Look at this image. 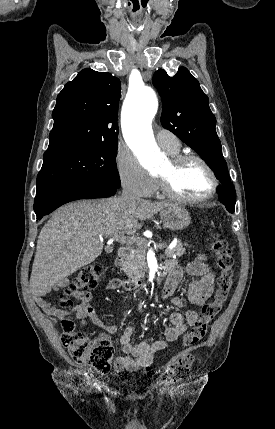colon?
Masks as SVG:
<instances>
[{
	"mask_svg": "<svg viewBox=\"0 0 275 429\" xmlns=\"http://www.w3.org/2000/svg\"><path fill=\"white\" fill-rule=\"evenodd\" d=\"M211 247L220 268L214 300L203 305L199 319L183 336L184 349L163 368L161 374L163 382L177 381L188 374L194 363L192 348L205 337L209 324L220 313L231 293L234 273L232 250L228 242L218 234H213ZM102 273L103 267L98 263L89 264L80 269L61 296L62 307L68 309L72 305L70 297L76 293L96 287ZM62 330V343L75 362L89 365L101 373L110 370L114 349L109 338L106 336L89 338L85 333L78 331L75 323L69 318L62 321Z\"/></svg>",
	"mask_w": 275,
	"mask_h": 429,
	"instance_id": "obj_1",
	"label": "colon"
}]
</instances>
